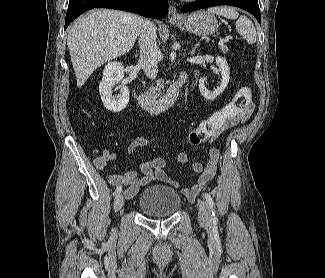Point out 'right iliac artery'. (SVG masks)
<instances>
[{"label": "right iliac artery", "mask_w": 325, "mask_h": 278, "mask_svg": "<svg viewBox=\"0 0 325 278\" xmlns=\"http://www.w3.org/2000/svg\"><path fill=\"white\" fill-rule=\"evenodd\" d=\"M122 191V187L121 186H117L115 193L118 194Z\"/></svg>", "instance_id": "obj_1"}]
</instances>
